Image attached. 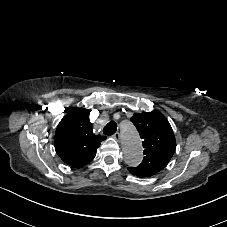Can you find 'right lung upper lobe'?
Wrapping results in <instances>:
<instances>
[{
  "instance_id": "obj_1",
  "label": "right lung upper lobe",
  "mask_w": 227,
  "mask_h": 227,
  "mask_svg": "<svg viewBox=\"0 0 227 227\" xmlns=\"http://www.w3.org/2000/svg\"><path fill=\"white\" fill-rule=\"evenodd\" d=\"M89 114L88 109H74L62 118L56 129V153L73 168H81L91 162L101 141L106 139L93 134Z\"/></svg>"
}]
</instances>
